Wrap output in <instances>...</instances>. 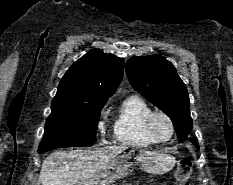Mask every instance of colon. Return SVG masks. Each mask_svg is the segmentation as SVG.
<instances>
[{
  "instance_id": "1",
  "label": "colon",
  "mask_w": 233,
  "mask_h": 185,
  "mask_svg": "<svg viewBox=\"0 0 233 185\" xmlns=\"http://www.w3.org/2000/svg\"><path fill=\"white\" fill-rule=\"evenodd\" d=\"M192 174V162L189 158L181 159L176 167L174 177L176 185H186Z\"/></svg>"
}]
</instances>
